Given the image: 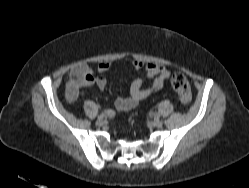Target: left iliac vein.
I'll return each instance as SVG.
<instances>
[{"instance_id": "1", "label": "left iliac vein", "mask_w": 249, "mask_h": 188, "mask_svg": "<svg viewBox=\"0 0 249 188\" xmlns=\"http://www.w3.org/2000/svg\"><path fill=\"white\" fill-rule=\"evenodd\" d=\"M153 125H154L155 127L160 128V127L163 126V122H162L160 119L155 118L154 121H153Z\"/></svg>"}]
</instances>
